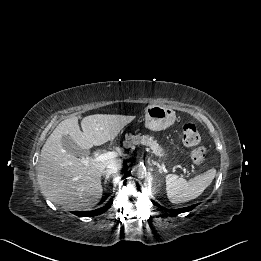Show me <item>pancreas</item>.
Instances as JSON below:
<instances>
[{"mask_svg":"<svg viewBox=\"0 0 261 261\" xmlns=\"http://www.w3.org/2000/svg\"><path fill=\"white\" fill-rule=\"evenodd\" d=\"M142 144L145 146H149L152 150L153 153L158 155V156H164V152L162 147L158 144L156 140H154L153 137H149L148 135H126L125 136V141L123 142V146L125 148H129L132 145H138Z\"/></svg>","mask_w":261,"mask_h":261,"instance_id":"1","label":"pancreas"}]
</instances>
